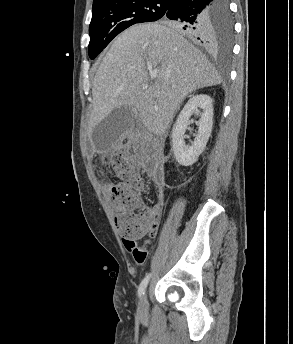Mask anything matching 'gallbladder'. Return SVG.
Segmentation results:
<instances>
[{"mask_svg":"<svg viewBox=\"0 0 293 344\" xmlns=\"http://www.w3.org/2000/svg\"><path fill=\"white\" fill-rule=\"evenodd\" d=\"M136 112L132 107L121 106L113 109L92 131V140L97 151L111 148L121 135L132 129Z\"/></svg>","mask_w":293,"mask_h":344,"instance_id":"obj_1","label":"gallbladder"}]
</instances>
